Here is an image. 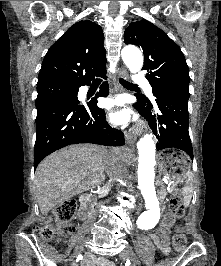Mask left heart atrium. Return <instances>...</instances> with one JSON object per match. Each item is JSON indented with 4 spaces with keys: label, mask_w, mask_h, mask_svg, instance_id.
<instances>
[{
    "label": "left heart atrium",
    "mask_w": 221,
    "mask_h": 266,
    "mask_svg": "<svg viewBox=\"0 0 221 266\" xmlns=\"http://www.w3.org/2000/svg\"><path fill=\"white\" fill-rule=\"evenodd\" d=\"M121 105L122 103L120 101H116V102H108L106 106L108 109H111L114 106H121ZM110 116L111 119L116 123L125 122L129 119V112L123 109L116 112H112Z\"/></svg>",
    "instance_id": "left-heart-atrium-1"
}]
</instances>
